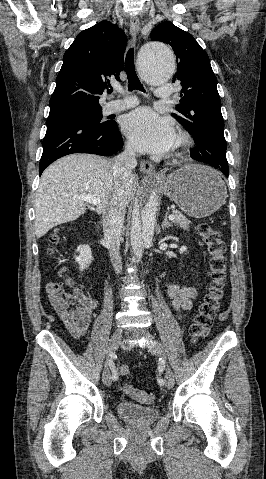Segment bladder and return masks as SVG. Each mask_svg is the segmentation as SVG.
Masks as SVG:
<instances>
[{"label":"bladder","instance_id":"bladder-1","mask_svg":"<svg viewBox=\"0 0 266 479\" xmlns=\"http://www.w3.org/2000/svg\"><path fill=\"white\" fill-rule=\"evenodd\" d=\"M116 411L124 421L131 424L154 423L160 414L155 406L139 405L131 401H119L116 404Z\"/></svg>","mask_w":266,"mask_h":479}]
</instances>
